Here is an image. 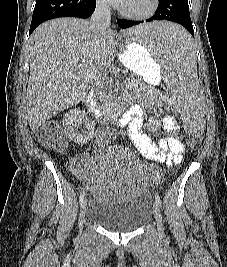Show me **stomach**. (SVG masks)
I'll list each match as a JSON object with an SVG mask.
<instances>
[{
	"label": "stomach",
	"instance_id": "0dacf381",
	"mask_svg": "<svg viewBox=\"0 0 227 267\" xmlns=\"http://www.w3.org/2000/svg\"><path fill=\"white\" fill-rule=\"evenodd\" d=\"M121 61L147 83L155 84L161 78L163 59H151V51H147V47L138 46V43H125Z\"/></svg>",
	"mask_w": 227,
	"mask_h": 267
}]
</instances>
